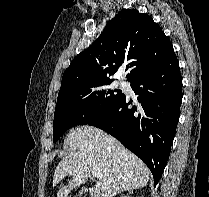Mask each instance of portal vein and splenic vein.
Here are the masks:
<instances>
[{
  "instance_id": "18ae733b",
  "label": "portal vein and splenic vein",
  "mask_w": 209,
  "mask_h": 197,
  "mask_svg": "<svg viewBox=\"0 0 209 197\" xmlns=\"http://www.w3.org/2000/svg\"><path fill=\"white\" fill-rule=\"evenodd\" d=\"M91 173H92L93 177H95L97 179H101L102 178V173L96 167H93L91 169Z\"/></svg>"
}]
</instances>
